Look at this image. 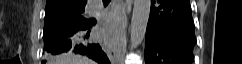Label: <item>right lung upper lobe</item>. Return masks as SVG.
I'll list each match as a JSON object with an SVG mask.
<instances>
[{"mask_svg": "<svg viewBox=\"0 0 242 64\" xmlns=\"http://www.w3.org/2000/svg\"><path fill=\"white\" fill-rule=\"evenodd\" d=\"M87 0H46L45 13L57 10H73L85 6Z\"/></svg>", "mask_w": 242, "mask_h": 64, "instance_id": "1", "label": "right lung upper lobe"}]
</instances>
